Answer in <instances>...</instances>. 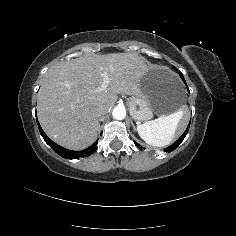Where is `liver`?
Here are the masks:
<instances>
[{
	"label": "liver",
	"mask_w": 236,
	"mask_h": 236,
	"mask_svg": "<svg viewBox=\"0 0 236 236\" xmlns=\"http://www.w3.org/2000/svg\"><path fill=\"white\" fill-rule=\"evenodd\" d=\"M147 63L133 53L97 55L86 53L58 62L44 74L37 96V117L45 134L56 144L80 151L97 139L100 124L96 109L104 114L112 108L118 93L136 95ZM110 78L106 91L94 93Z\"/></svg>",
	"instance_id": "6515ba94"
}]
</instances>
